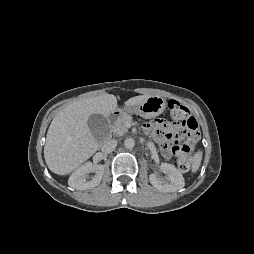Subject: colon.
<instances>
[{
  "label": "colon",
  "instance_id": "1",
  "mask_svg": "<svg viewBox=\"0 0 254 254\" xmlns=\"http://www.w3.org/2000/svg\"><path fill=\"white\" fill-rule=\"evenodd\" d=\"M168 114L170 120L166 123L179 126L172 133L171 138L178 167L181 171L187 172L190 170L192 163L189 156L192 144L200 135L199 125L196 119L190 115L188 108L176 100L168 102Z\"/></svg>",
  "mask_w": 254,
  "mask_h": 254
}]
</instances>
